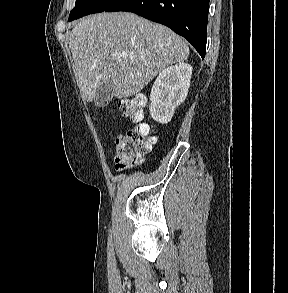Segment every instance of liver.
<instances>
[{
    "instance_id": "liver-1",
    "label": "liver",
    "mask_w": 288,
    "mask_h": 293,
    "mask_svg": "<svg viewBox=\"0 0 288 293\" xmlns=\"http://www.w3.org/2000/svg\"><path fill=\"white\" fill-rule=\"evenodd\" d=\"M69 47L87 102L109 80L116 98L133 96L162 70L189 56L188 45L171 29L129 12H103L80 20L70 33ZM124 52L128 56L119 57Z\"/></svg>"
}]
</instances>
